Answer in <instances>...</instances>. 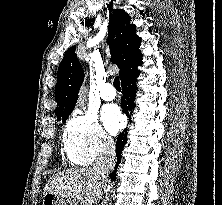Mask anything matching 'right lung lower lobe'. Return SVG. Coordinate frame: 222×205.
I'll use <instances>...</instances> for the list:
<instances>
[{"mask_svg":"<svg viewBox=\"0 0 222 205\" xmlns=\"http://www.w3.org/2000/svg\"><path fill=\"white\" fill-rule=\"evenodd\" d=\"M140 71H136L135 73L129 75L125 79L121 81L122 85V92L123 96L121 98V105L123 108V112L131 118L132 110L135 108V103H134V95L137 90L136 86V77L139 76ZM127 141V129H124L117 138L116 142V156H117V163L116 167H118V164L121 161L122 158V150L124 148V145ZM110 177L112 180L116 179V171L114 170L111 174Z\"/></svg>","mask_w":222,"mask_h":205,"instance_id":"1","label":"right lung lower lobe"}]
</instances>
